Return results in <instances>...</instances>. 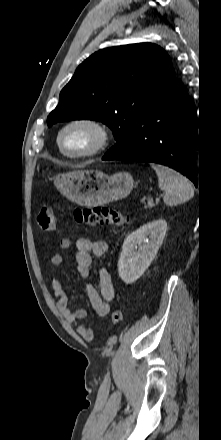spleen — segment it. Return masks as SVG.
Returning <instances> with one entry per match:
<instances>
[{
	"label": "spleen",
	"instance_id": "spleen-1",
	"mask_svg": "<svg viewBox=\"0 0 221 440\" xmlns=\"http://www.w3.org/2000/svg\"><path fill=\"white\" fill-rule=\"evenodd\" d=\"M158 177L159 188L165 191L164 203L178 205L190 200L194 190L190 181L180 173L163 165L151 164Z\"/></svg>",
	"mask_w": 221,
	"mask_h": 440
}]
</instances>
